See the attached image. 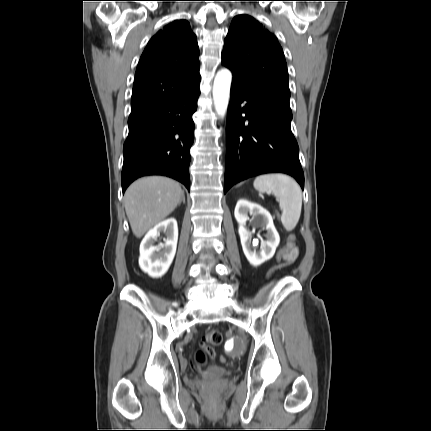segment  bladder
<instances>
[{
    "label": "bladder",
    "mask_w": 431,
    "mask_h": 431,
    "mask_svg": "<svg viewBox=\"0 0 431 431\" xmlns=\"http://www.w3.org/2000/svg\"><path fill=\"white\" fill-rule=\"evenodd\" d=\"M230 373L229 369L224 366L211 365L204 372V377L209 379L221 378Z\"/></svg>",
    "instance_id": "obj_1"
}]
</instances>
